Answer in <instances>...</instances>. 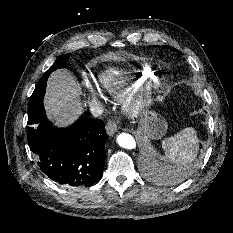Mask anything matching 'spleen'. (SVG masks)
<instances>
[{"label": "spleen", "mask_w": 233, "mask_h": 233, "mask_svg": "<svg viewBox=\"0 0 233 233\" xmlns=\"http://www.w3.org/2000/svg\"><path fill=\"white\" fill-rule=\"evenodd\" d=\"M196 132L188 127L174 136L167 137L162 141V148L167 158L175 165L176 172L183 171L197 157L199 145ZM168 175L172 171L168 170Z\"/></svg>", "instance_id": "obj_1"}]
</instances>
